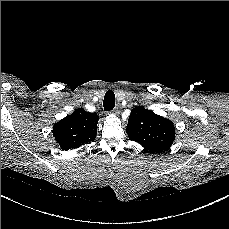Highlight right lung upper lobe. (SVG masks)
Returning <instances> with one entry per match:
<instances>
[{"label":"right lung upper lobe","mask_w":229,"mask_h":229,"mask_svg":"<svg viewBox=\"0 0 229 229\" xmlns=\"http://www.w3.org/2000/svg\"><path fill=\"white\" fill-rule=\"evenodd\" d=\"M98 120L97 113L76 109L54 124L53 136L63 150L78 148L95 140Z\"/></svg>","instance_id":"obj_1"}]
</instances>
